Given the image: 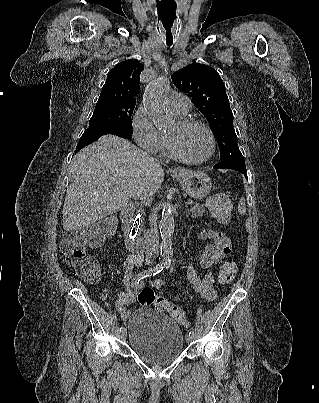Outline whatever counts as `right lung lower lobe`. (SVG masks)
Instances as JSON below:
<instances>
[{
  "label": "right lung lower lobe",
  "mask_w": 319,
  "mask_h": 403,
  "mask_svg": "<svg viewBox=\"0 0 319 403\" xmlns=\"http://www.w3.org/2000/svg\"><path fill=\"white\" fill-rule=\"evenodd\" d=\"M105 134H113L125 139H130L132 135V133H129L120 127L106 126V127L88 128L84 131L83 135L81 136L80 141L77 144L75 153L78 152L80 149L84 148L85 146L98 140L102 135Z\"/></svg>",
  "instance_id": "right-lung-lower-lobe-1"
}]
</instances>
